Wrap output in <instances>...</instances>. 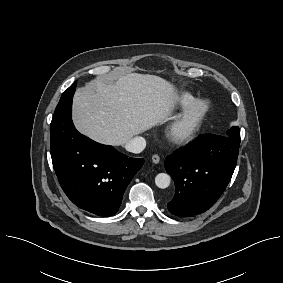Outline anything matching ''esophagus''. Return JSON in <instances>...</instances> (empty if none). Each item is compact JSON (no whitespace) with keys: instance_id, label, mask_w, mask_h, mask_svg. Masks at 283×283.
<instances>
[{"instance_id":"obj_1","label":"esophagus","mask_w":283,"mask_h":283,"mask_svg":"<svg viewBox=\"0 0 283 283\" xmlns=\"http://www.w3.org/2000/svg\"><path fill=\"white\" fill-rule=\"evenodd\" d=\"M151 159L155 164H158L160 162V157L158 155H153Z\"/></svg>"}]
</instances>
